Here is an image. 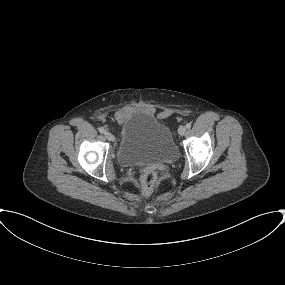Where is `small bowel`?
Masks as SVG:
<instances>
[{
    "mask_svg": "<svg viewBox=\"0 0 285 285\" xmlns=\"http://www.w3.org/2000/svg\"><path fill=\"white\" fill-rule=\"evenodd\" d=\"M139 109L150 110L149 106L139 105H126L119 109L115 114L114 118L119 125H122L130 114L138 111Z\"/></svg>",
    "mask_w": 285,
    "mask_h": 285,
    "instance_id": "c3829d8e",
    "label": "small bowel"
}]
</instances>
